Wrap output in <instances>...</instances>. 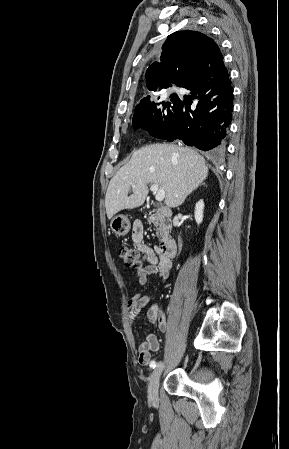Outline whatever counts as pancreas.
<instances>
[{"label":"pancreas","mask_w":289,"mask_h":449,"mask_svg":"<svg viewBox=\"0 0 289 449\" xmlns=\"http://www.w3.org/2000/svg\"><path fill=\"white\" fill-rule=\"evenodd\" d=\"M147 220L150 224L153 223L156 226V231L160 237V240H162L164 236L169 233L171 226L166 222L164 216L160 214H152Z\"/></svg>","instance_id":"obj_1"}]
</instances>
